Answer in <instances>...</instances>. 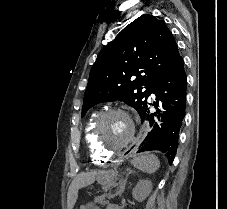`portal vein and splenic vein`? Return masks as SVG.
<instances>
[{"label":"portal vein and splenic vein","mask_w":227,"mask_h":209,"mask_svg":"<svg viewBox=\"0 0 227 209\" xmlns=\"http://www.w3.org/2000/svg\"><path fill=\"white\" fill-rule=\"evenodd\" d=\"M93 199L94 200L96 199L97 201H100V200L103 201L105 198L103 196H101V197L97 196L96 198L94 197Z\"/></svg>","instance_id":"obj_1"}]
</instances>
